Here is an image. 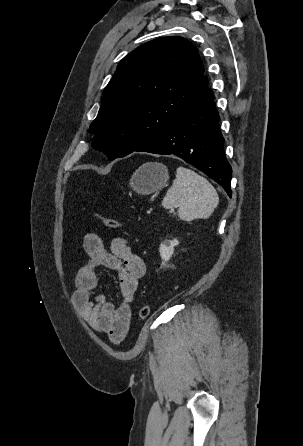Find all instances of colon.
<instances>
[{"label": "colon", "mask_w": 303, "mask_h": 446, "mask_svg": "<svg viewBox=\"0 0 303 446\" xmlns=\"http://www.w3.org/2000/svg\"><path fill=\"white\" fill-rule=\"evenodd\" d=\"M95 216L99 218L103 222V224L109 229L118 230L122 227L121 223L114 218H111L101 213H95ZM149 313H150V308L149 306L145 305L141 307L139 310V318L141 320H144L149 316Z\"/></svg>", "instance_id": "colon-1"}]
</instances>
